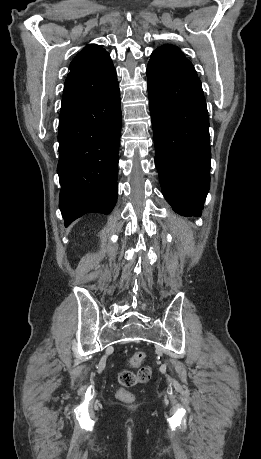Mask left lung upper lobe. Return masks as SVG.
Segmentation results:
<instances>
[{
	"instance_id": "left-lung-upper-lobe-1",
	"label": "left lung upper lobe",
	"mask_w": 261,
	"mask_h": 459,
	"mask_svg": "<svg viewBox=\"0 0 261 459\" xmlns=\"http://www.w3.org/2000/svg\"><path fill=\"white\" fill-rule=\"evenodd\" d=\"M148 64L156 65L162 69L196 75V71L192 63L186 59L181 50L173 45L165 44L158 47L151 55Z\"/></svg>"
}]
</instances>
